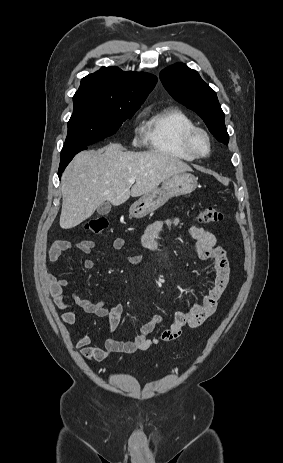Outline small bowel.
I'll use <instances>...</instances> for the list:
<instances>
[{
	"label": "small bowel",
	"instance_id": "1",
	"mask_svg": "<svg viewBox=\"0 0 283 463\" xmlns=\"http://www.w3.org/2000/svg\"><path fill=\"white\" fill-rule=\"evenodd\" d=\"M181 222L178 218H166L156 220L149 224L141 235V242L144 248L150 251L158 249L157 237L164 227L178 226ZM187 233L194 239V244L190 247L192 253L202 260L212 262L215 270L214 285L209 293L205 295L199 304L194 305L186 311L176 313L171 325L160 334L152 337L154 330L162 322L159 315H154L148 322L141 325L136 335L132 338L116 339L108 338L103 346L91 345V338L82 330L78 331L76 347L80 349L81 356L86 361H104L113 353L130 354L136 351H145L162 341H172L177 339L184 327H197L204 323L216 310L217 303L225 292L230 277V267L225 250L217 244L216 237L210 231L195 225L186 227ZM127 243L126 237H117L113 241L115 250H121ZM96 244L92 240H82L71 242L68 240L54 241L48 251V260L51 265L58 263L61 255L65 251L77 249L84 254H90ZM128 261L134 265L142 263V257L136 254L127 256ZM94 267L93 260L86 258L83 261V268L91 270ZM47 290L53 297L55 304L61 310L62 321L66 325L77 324V314L65 297L64 288L69 286L66 278H57L49 270L46 271ZM75 305L85 312L92 313L108 323L111 331L115 330L121 318L123 306L114 304L107 307L103 302H93L80 297L76 292H70Z\"/></svg>",
	"mask_w": 283,
	"mask_h": 463
}]
</instances>
